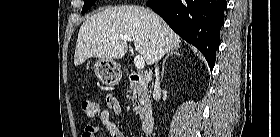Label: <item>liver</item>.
<instances>
[{"label": "liver", "instance_id": "6515ba94", "mask_svg": "<svg viewBox=\"0 0 280 137\" xmlns=\"http://www.w3.org/2000/svg\"><path fill=\"white\" fill-rule=\"evenodd\" d=\"M129 35L135 50L147 65H152L168 51L178 48L181 38L157 14L144 7L117 6L92 15L81 25L76 43L74 64L90 57L120 59L128 50L125 40H109L113 35Z\"/></svg>", "mask_w": 280, "mask_h": 137}]
</instances>
